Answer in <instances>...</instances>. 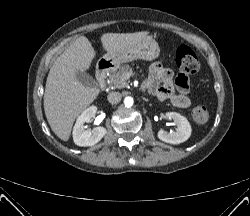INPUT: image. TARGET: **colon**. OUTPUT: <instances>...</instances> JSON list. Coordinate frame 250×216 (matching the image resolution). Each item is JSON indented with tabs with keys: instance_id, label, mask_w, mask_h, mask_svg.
<instances>
[{
	"instance_id": "obj_1",
	"label": "colon",
	"mask_w": 250,
	"mask_h": 216,
	"mask_svg": "<svg viewBox=\"0 0 250 216\" xmlns=\"http://www.w3.org/2000/svg\"><path fill=\"white\" fill-rule=\"evenodd\" d=\"M176 64L184 74H194L199 70V60L194 50L181 45L176 50ZM192 118L197 124H205L209 119V112L203 104H197L192 111Z\"/></svg>"
}]
</instances>
